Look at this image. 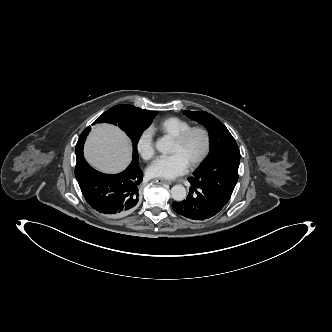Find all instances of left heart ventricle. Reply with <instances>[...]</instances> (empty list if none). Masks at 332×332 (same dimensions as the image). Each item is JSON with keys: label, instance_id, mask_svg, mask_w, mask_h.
<instances>
[{"label": "left heart ventricle", "instance_id": "left-heart-ventricle-1", "mask_svg": "<svg viewBox=\"0 0 332 332\" xmlns=\"http://www.w3.org/2000/svg\"><path fill=\"white\" fill-rule=\"evenodd\" d=\"M204 146V138L200 132H194L190 135L183 145L173 142L171 153L180 154L189 164L202 151Z\"/></svg>", "mask_w": 332, "mask_h": 332}]
</instances>
